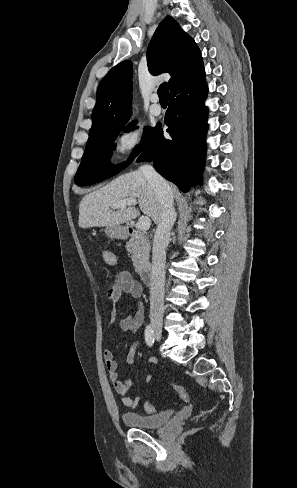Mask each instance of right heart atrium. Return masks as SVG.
I'll list each match as a JSON object with an SVG mask.
<instances>
[{
  "label": "right heart atrium",
  "instance_id": "right-heart-atrium-1",
  "mask_svg": "<svg viewBox=\"0 0 297 488\" xmlns=\"http://www.w3.org/2000/svg\"><path fill=\"white\" fill-rule=\"evenodd\" d=\"M145 144L144 126L134 120H128L118 131L115 138V153L126 159L140 151Z\"/></svg>",
  "mask_w": 297,
  "mask_h": 488
}]
</instances>
